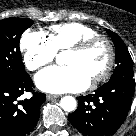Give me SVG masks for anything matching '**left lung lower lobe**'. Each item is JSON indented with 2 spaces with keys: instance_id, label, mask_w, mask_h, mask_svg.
I'll list each match as a JSON object with an SVG mask.
<instances>
[{
  "instance_id": "left-lung-lower-lobe-1",
  "label": "left lung lower lobe",
  "mask_w": 136,
  "mask_h": 136,
  "mask_svg": "<svg viewBox=\"0 0 136 136\" xmlns=\"http://www.w3.org/2000/svg\"><path fill=\"white\" fill-rule=\"evenodd\" d=\"M133 78L107 82L95 94L78 97V108L68 116L84 136H109L123 123L134 95Z\"/></svg>"
}]
</instances>
